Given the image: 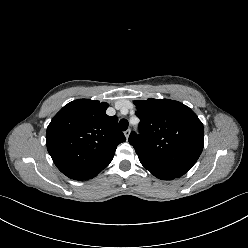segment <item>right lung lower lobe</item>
<instances>
[{"mask_svg":"<svg viewBox=\"0 0 248 248\" xmlns=\"http://www.w3.org/2000/svg\"><path fill=\"white\" fill-rule=\"evenodd\" d=\"M102 170L103 169L89 172V173H81V174H75V173L74 174H67L66 176H68L71 179H75V180H87V179H91V178L95 177Z\"/></svg>","mask_w":248,"mask_h":248,"instance_id":"right-lung-lower-lobe-1","label":"right lung lower lobe"}]
</instances>
